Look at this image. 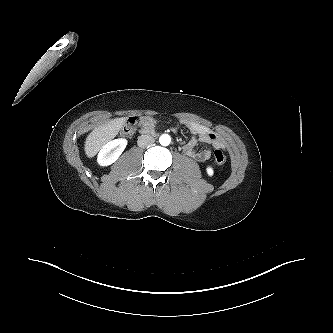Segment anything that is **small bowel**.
<instances>
[{"label":"small bowel","mask_w":333,"mask_h":333,"mask_svg":"<svg viewBox=\"0 0 333 333\" xmlns=\"http://www.w3.org/2000/svg\"><path fill=\"white\" fill-rule=\"evenodd\" d=\"M181 123L194 134L192 139L188 141L183 150L186 155L198 162H204L210 159L212 151L210 149L197 150V141L201 140L211 144L215 149H222L223 143L220 138L210 128L193 121L183 120ZM157 131V121L154 117H147L143 120L141 132L143 134L155 133Z\"/></svg>","instance_id":"c3829d8e"}]
</instances>
